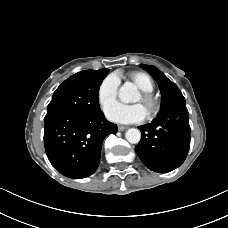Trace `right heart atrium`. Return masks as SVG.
<instances>
[{
	"mask_svg": "<svg viewBox=\"0 0 228 228\" xmlns=\"http://www.w3.org/2000/svg\"><path fill=\"white\" fill-rule=\"evenodd\" d=\"M120 86V78L117 74L107 75L100 83L97 90V98L101 107L105 108L117 97Z\"/></svg>",
	"mask_w": 228,
	"mask_h": 228,
	"instance_id": "d8ad5b80",
	"label": "right heart atrium"
}]
</instances>
